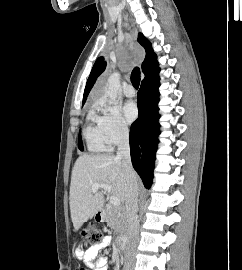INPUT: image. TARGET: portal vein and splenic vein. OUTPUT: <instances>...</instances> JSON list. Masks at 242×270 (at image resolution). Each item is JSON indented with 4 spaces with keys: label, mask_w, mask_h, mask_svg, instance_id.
Masks as SVG:
<instances>
[{
    "label": "portal vein and splenic vein",
    "mask_w": 242,
    "mask_h": 270,
    "mask_svg": "<svg viewBox=\"0 0 242 270\" xmlns=\"http://www.w3.org/2000/svg\"><path fill=\"white\" fill-rule=\"evenodd\" d=\"M100 188L104 189L108 193H111V187L108 184H105V183H94L92 185L91 191L93 193H96L98 191V189H100ZM110 203L112 205H114V206H117V207L121 205L120 200L117 197L113 196V195H111V197H110Z\"/></svg>",
    "instance_id": "1"
}]
</instances>
